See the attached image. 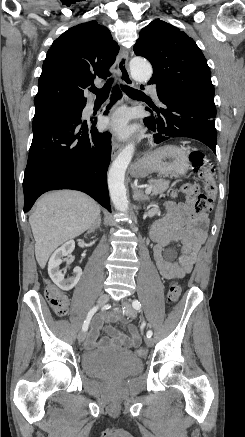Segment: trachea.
Returning a JSON list of instances; mask_svg holds the SVG:
<instances>
[{"instance_id": "trachea-1", "label": "trachea", "mask_w": 245, "mask_h": 437, "mask_svg": "<svg viewBox=\"0 0 245 437\" xmlns=\"http://www.w3.org/2000/svg\"><path fill=\"white\" fill-rule=\"evenodd\" d=\"M112 83H113V79L111 78L105 83V85L101 89L91 88V91L96 94L97 98H107L110 93ZM121 87L122 90L130 97L144 95L143 92L131 88L129 86L122 85Z\"/></svg>"}]
</instances>
